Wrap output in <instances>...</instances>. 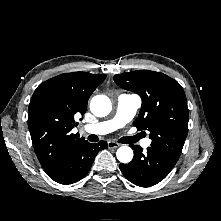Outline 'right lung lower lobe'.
<instances>
[{
  "label": "right lung lower lobe",
  "instance_id": "1",
  "mask_svg": "<svg viewBox=\"0 0 221 221\" xmlns=\"http://www.w3.org/2000/svg\"><path fill=\"white\" fill-rule=\"evenodd\" d=\"M107 146L106 141L97 144L86 142L67 156L48 165L44 170L51 179L60 184L78 182L89 172L97 153Z\"/></svg>",
  "mask_w": 221,
  "mask_h": 221
}]
</instances>
